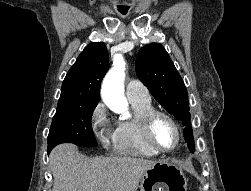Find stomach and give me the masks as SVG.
I'll list each match as a JSON object with an SVG mask.
<instances>
[{"label": "stomach", "mask_w": 251, "mask_h": 191, "mask_svg": "<svg viewBox=\"0 0 251 191\" xmlns=\"http://www.w3.org/2000/svg\"><path fill=\"white\" fill-rule=\"evenodd\" d=\"M139 187L140 191H156L161 187H165V191H187V179L181 167L156 161L151 169L144 171Z\"/></svg>", "instance_id": "1"}]
</instances>
